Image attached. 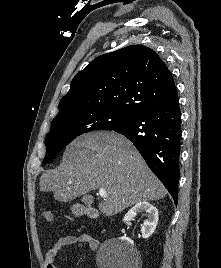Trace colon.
<instances>
[{"label": "colon", "mask_w": 221, "mask_h": 268, "mask_svg": "<svg viewBox=\"0 0 221 268\" xmlns=\"http://www.w3.org/2000/svg\"><path fill=\"white\" fill-rule=\"evenodd\" d=\"M41 216L43 217V219H44L46 222H48V223H50V224H52V225L55 224V218H54V215H53V213H52L50 210H47V209L42 210V211H41Z\"/></svg>", "instance_id": "5ec220e1"}]
</instances>
